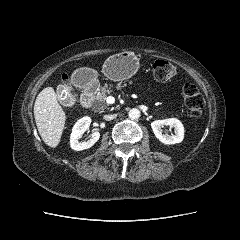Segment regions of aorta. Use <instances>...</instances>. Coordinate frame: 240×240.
Returning <instances> with one entry per match:
<instances>
[{"mask_svg":"<svg viewBox=\"0 0 240 240\" xmlns=\"http://www.w3.org/2000/svg\"><path fill=\"white\" fill-rule=\"evenodd\" d=\"M128 116L130 119L135 120L140 117V111L137 108H133L128 112Z\"/></svg>","mask_w":240,"mask_h":240,"instance_id":"1","label":"aorta"}]
</instances>
